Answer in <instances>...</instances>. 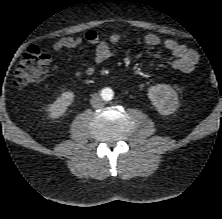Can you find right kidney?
<instances>
[{"instance_id":"ca27d5eb","label":"right kidney","mask_w":222,"mask_h":219,"mask_svg":"<svg viewBox=\"0 0 222 219\" xmlns=\"http://www.w3.org/2000/svg\"><path fill=\"white\" fill-rule=\"evenodd\" d=\"M74 99V93L72 91L63 92L57 100L50 105L49 112L51 118H59L66 112L68 106L71 105Z\"/></svg>"}]
</instances>
